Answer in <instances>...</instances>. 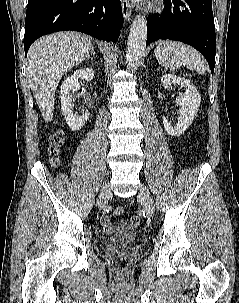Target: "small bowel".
<instances>
[{
  "mask_svg": "<svg viewBox=\"0 0 239 303\" xmlns=\"http://www.w3.org/2000/svg\"><path fill=\"white\" fill-rule=\"evenodd\" d=\"M136 219H139L137 216H132L128 221L120 222L118 224H113L110 218L106 215L101 217V225L105 232L112 233L119 230H130L136 227L139 222H135Z\"/></svg>",
  "mask_w": 239,
  "mask_h": 303,
  "instance_id": "c3829d8e",
  "label": "small bowel"
}]
</instances>
